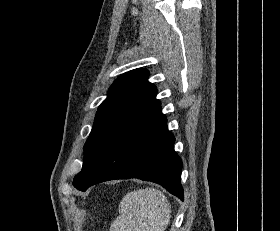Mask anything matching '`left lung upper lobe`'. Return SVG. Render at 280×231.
Here are the masks:
<instances>
[{"label":"left lung upper lobe","mask_w":280,"mask_h":231,"mask_svg":"<svg viewBox=\"0 0 280 231\" xmlns=\"http://www.w3.org/2000/svg\"><path fill=\"white\" fill-rule=\"evenodd\" d=\"M148 76L147 70L135 69L120 76L109 88L108 97L99 106L84 145L83 167L73 180L75 188L79 187L96 156L111 138L160 106L155 98L157 90L147 81Z\"/></svg>","instance_id":"1"}]
</instances>
